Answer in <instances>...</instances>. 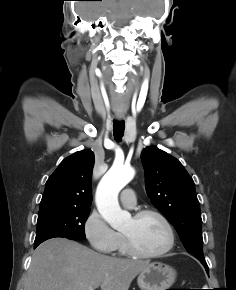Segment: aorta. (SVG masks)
<instances>
[{"instance_id":"aorta-1","label":"aorta","mask_w":236,"mask_h":290,"mask_svg":"<svg viewBox=\"0 0 236 290\" xmlns=\"http://www.w3.org/2000/svg\"><path fill=\"white\" fill-rule=\"evenodd\" d=\"M134 170L127 166H112L98 184L95 201L104 220L113 228L121 229L131 219L129 212L118 203L119 192L133 179Z\"/></svg>"}]
</instances>
